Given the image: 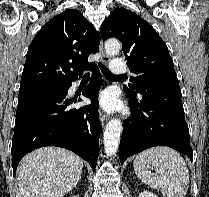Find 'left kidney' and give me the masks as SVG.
<instances>
[{"label": "left kidney", "mask_w": 209, "mask_h": 197, "mask_svg": "<svg viewBox=\"0 0 209 197\" xmlns=\"http://www.w3.org/2000/svg\"><path fill=\"white\" fill-rule=\"evenodd\" d=\"M139 197H157L155 194L149 191H143L139 194Z\"/></svg>", "instance_id": "5707ae66"}]
</instances>
